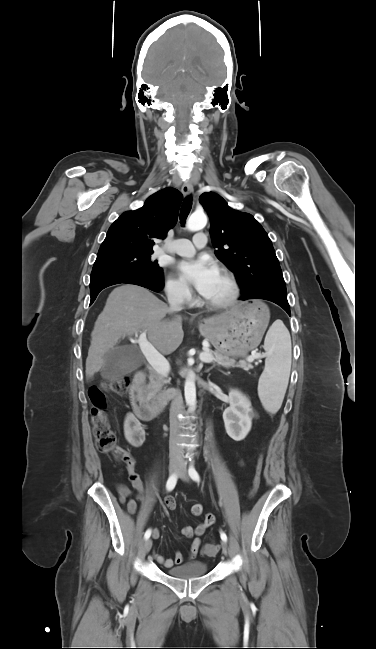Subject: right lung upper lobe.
I'll use <instances>...</instances> for the list:
<instances>
[{
	"label": "right lung upper lobe",
	"instance_id": "right-lung-upper-lobe-1",
	"mask_svg": "<svg viewBox=\"0 0 376 649\" xmlns=\"http://www.w3.org/2000/svg\"><path fill=\"white\" fill-rule=\"evenodd\" d=\"M183 195L172 187L152 194L143 207L124 212L109 228L98 254L153 251L154 239H164L178 219Z\"/></svg>",
	"mask_w": 376,
	"mask_h": 649
}]
</instances>
